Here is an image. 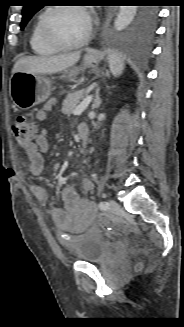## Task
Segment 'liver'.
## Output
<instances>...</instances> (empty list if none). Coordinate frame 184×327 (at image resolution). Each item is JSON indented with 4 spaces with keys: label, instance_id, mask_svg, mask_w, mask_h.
Returning <instances> with one entry per match:
<instances>
[{
    "label": "liver",
    "instance_id": "obj_1",
    "mask_svg": "<svg viewBox=\"0 0 184 327\" xmlns=\"http://www.w3.org/2000/svg\"><path fill=\"white\" fill-rule=\"evenodd\" d=\"M81 52L62 54L56 56H27L15 63L12 74L17 71H27L37 74H51L61 72L72 67L80 59Z\"/></svg>",
    "mask_w": 184,
    "mask_h": 327
}]
</instances>
